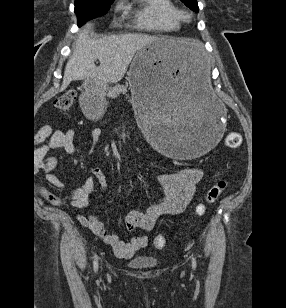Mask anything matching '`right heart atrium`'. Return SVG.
<instances>
[{"mask_svg":"<svg viewBox=\"0 0 286 308\" xmlns=\"http://www.w3.org/2000/svg\"><path fill=\"white\" fill-rule=\"evenodd\" d=\"M123 9V2L122 0H119L116 4V10L120 11Z\"/></svg>","mask_w":286,"mask_h":308,"instance_id":"1","label":"right heart atrium"}]
</instances>
